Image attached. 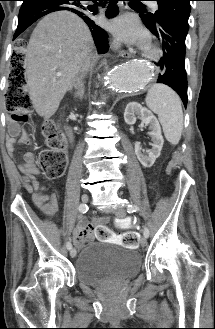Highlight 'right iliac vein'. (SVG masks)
<instances>
[{
  "mask_svg": "<svg viewBox=\"0 0 215 329\" xmlns=\"http://www.w3.org/2000/svg\"><path fill=\"white\" fill-rule=\"evenodd\" d=\"M88 199H89V197H88L87 194H83L82 197H81V200H82L83 203H87V202H88ZM76 254H77L76 249H75V248H72V249L70 250V256H71L72 258H74V257L76 256Z\"/></svg>",
  "mask_w": 215,
  "mask_h": 329,
  "instance_id": "63e3f726",
  "label": "right iliac vein"
}]
</instances>
